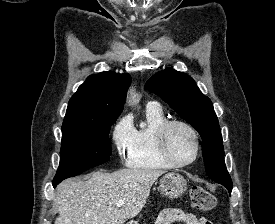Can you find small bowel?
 I'll list each match as a JSON object with an SVG mask.
<instances>
[{"mask_svg":"<svg viewBox=\"0 0 275 224\" xmlns=\"http://www.w3.org/2000/svg\"><path fill=\"white\" fill-rule=\"evenodd\" d=\"M176 222L184 224H212L205 217H197L192 213L177 208H166L162 210L159 213L155 224H174Z\"/></svg>","mask_w":275,"mask_h":224,"instance_id":"c3829d8e","label":"small bowel"}]
</instances>
